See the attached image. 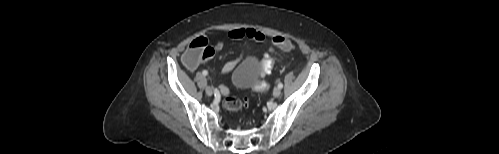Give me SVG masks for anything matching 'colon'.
Returning a JSON list of instances; mask_svg holds the SVG:
<instances>
[{
    "label": "colon",
    "mask_w": 499,
    "mask_h": 154,
    "mask_svg": "<svg viewBox=\"0 0 499 154\" xmlns=\"http://www.w3.org/2000/svg\"><path fill=\"white\" fill-rule=\"evenodd\" d=\"M273 43L282 51L288 52L293 49L292 42L283 36H276L273 38ZM214 55V48L208 43L204 37H198L190 42L184 55L183 61L188 67H195L202 60H208ZM274 61L271 58H263L261 60L262 74H267L271 71ZM268 84L259 79L254 84L253 89L258 93H265L268 90ZM225 107L231 111L240 110L248 105V100L237 99L235 97H227L224 102Z\"/></svg>",
    "instance_id": "colon-1"
}]
</instances>
